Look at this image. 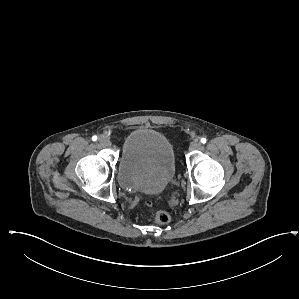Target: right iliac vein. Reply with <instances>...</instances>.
<instances>
[{"mask_svg":"<svg viewBox=\"0 0 299 299\" xmlns=\"http://www.w3.org/2000/svg\"><path fill=\"white\" fill-rule=\"evenodd\" d=\"M99 143H100L102 146H110V145H111L110 140H109L107 137H104V136H101V137L99 138Z\"/></svg>","mask_w":299,"mask_h":299,"instance_id":"63e3f726","label":"right iliac vein"}]
</instances>
